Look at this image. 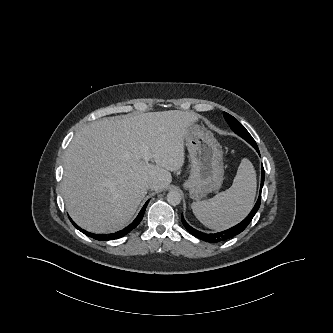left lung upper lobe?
I'll use <instances>...</instances> for the list:
<instances>
[{"instance_id": "1", "label": "left lung upper lobe", "mask_w": 333, "mask_h": 333, "mask_svg": "<svg viewBox=\"0 0 333 333\" xmlns=\"http://www.w3.org/2000/svg\"><path fill=\"white\" fill-rule=\"evenodd\" d=\"M223 116L226 120V122L229 124L230 128L239 136H241L243 139H245L248 143H250L252 146L257 145L255 140L252 138V136L249 134V132L244 128L242 124H240L233 116L230 114L224 112Z\"/></svg>"}]
</instances>
